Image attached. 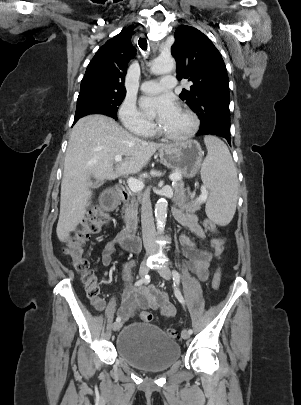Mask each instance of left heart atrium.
<instances>
[{
	"label": "left heart atrium",
	"instance_id": "obj_1",
	"mask_svg": "<svg viewBox=\"0 0 301 405\" xmlns=\"http://www.w3.org/2000/svg\"><path fill=\"white\" fill-rule=\"evenodd\" d=\"M140 104L144 110L155 112L159 122L167 120L180 111L175 99L169 94L145 96Z\"/></svg>",
	"mask_w": 301,
	"mask_h": 405
}]
</instances>
